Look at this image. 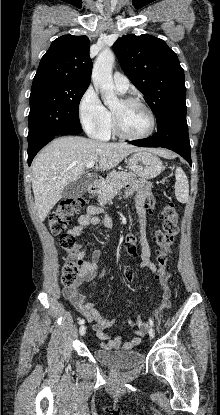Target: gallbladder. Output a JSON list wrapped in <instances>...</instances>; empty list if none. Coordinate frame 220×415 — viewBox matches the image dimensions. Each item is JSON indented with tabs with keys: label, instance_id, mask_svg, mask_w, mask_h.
I'll list each match as a JSON object with an SVG mask.
<instances>
[{
	"label": "gallbladder",
	"instance_id": "gallbladder-1",
	"mask_svg": "<svg viewBox=\"0 0 220 415\" xmlns=\"http://www.w3.org/2000/svg\"><path fill=\"white\" fill-rule=\"evenodd\" d=\"M88 185L89 181L86 178L77 179L64 188L62 192V197L65 199L79 198L80 196L84 195L88 188Z\"/></svg>",
	"mask_w": 220,
	"mask_h": 415
}]
</instances>
